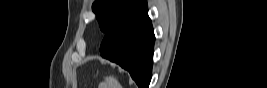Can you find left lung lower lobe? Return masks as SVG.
<instances>
[{
    "instance_id": "0a47b994",
    "label": "left lung lower lobe",
    "mask_w": 267,
    "mask_h": 88,
    "mask_svg": "<svg viewBox=\"0 0 267 88\" xmlns=\"http://www.w3.org/2000/svg\"><path fill=\"white\" fill-rule=\"evenodd\" d=\"M154 33L143 1L125 13L106 33L101 56L128 70L139 88H148L153 62Z\"/></svg>"
}]
</instances>
